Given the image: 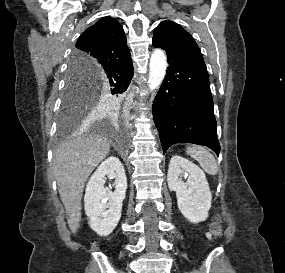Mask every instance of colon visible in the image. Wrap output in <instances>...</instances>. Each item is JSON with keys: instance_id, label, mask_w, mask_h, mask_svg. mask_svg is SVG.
<instances>
[{"instance_id": "1", "label": "colon", "mask_w": 285, "mask_h": 273, "mask_svg": "<svg viewBox=\"0 0 285 273\" xmlns=\"http://www.w3.org/2000/svg\"><path fill=\"white\" fill-rule=\"evenodd\" d=\"M222 233V226L220 218H217L216 221L211 226V236L212 238H217Z\"/></svg>"}]
</instances>
